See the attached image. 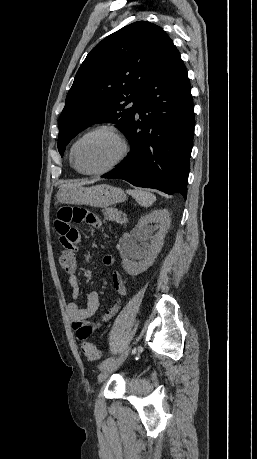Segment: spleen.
I'll return each mask as SVG.
<instances>
[{
    "mask_svg": "<svg viewBox=\"0 0 257 459\" xmlns=\"http://www.w3.org/2000/svg\"><path fill=\"white\" fill-rule=\"evenodd\" d=\"M130 194L141 206L149 207L156 201V196L148 191L135 189L128 190Z\"/></svg>",
    "mask_w": 257,
    "mask_h": 459,
    "instance_id": "1",
    "label": "spleen"
}]
</instances>
